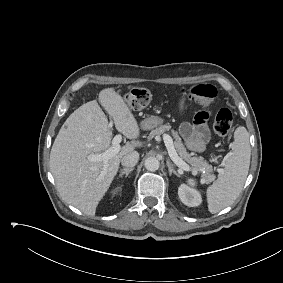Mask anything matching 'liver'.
Here are the masks:
<instances>
[{
	"mask_svg": "<svg viewBox=\"0 0 283 283\" xmlns=\"http://www.w3.org/2000/svg\"><path fill=\"white\" fill-rule=\"evenodd\" d=\"M104 107L119 132L128 139H137L140 128L123 97L114 88L99 93ZM112 129L96 100L76 109L61 127L51 149L50 169L62 199L94 216L108 191L123 156L135 150L127 143L115 156L104 161H90L87 156L111 148Z\"/></svg>",
	"mask_w": 283,
	"mask_h": 283,
	"instance_id": "liver-1",
	"label": "liver"
}]
</instances>
